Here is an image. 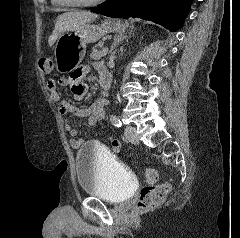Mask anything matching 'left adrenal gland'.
<instances>
[{"label": "left adrenal gland", "instance_id": "a2214340", "mask_svg": "<svg viewBox=\"0 0 240 238\" xmlns=\"http://www.w3.org/2000/svg\"><path fill=\"white\" fill-rule=\"evenodd\" d=\"M126 37H127V36L124 35V34H122V33H119V34L115 35V37H114V42H113V44H112V46H111V50H110V53H111V56H110V57H112V55L115 54V51H113L114 48H115L121 41H123Z\"/></svg>", "mask_w": 240, "mask_h": 238}]
</instances>
